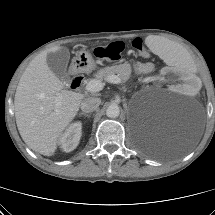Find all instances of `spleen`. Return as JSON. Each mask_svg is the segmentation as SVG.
I'll return each mask as SVG.
<instances>
[{"instance_id":"obj_1","label":"spleen","mask_w":215,"mask_h":215,"mask_svg":"<svg viewBox=\"0 0 215 215\" xmlns=\"http://www.w3.org/2000/svg\"><path fill=\"white\" fill-rule=\"evenodd\" d=\"M146 45L150 47L153 53L167 64L178 67L180 71L193 73L195 64L184 48L167 39H159L155 36L146 38Z\"/></svg>"}]
</instances>
